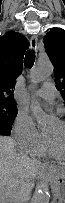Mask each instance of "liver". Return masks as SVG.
Masks as SVG:
<instances>
[{
    "label": "liver",
    "mask_w": 65,
    "mask_h": 203,
    "mask_svg": "<svg viewBox=\"0 0 65 203\" xmlns=\"http://www.w3.org/2000/svg\"><path fill=\"white\" fill-rule=\"evenodd\" d=\"M12 138L0 137V197L1 203H24L34 187L33 179L48 164L18 154ZM51 166V165H50Z\"/></svg>",
    "instance_id": "1"
}]
</instances>
